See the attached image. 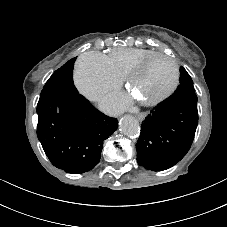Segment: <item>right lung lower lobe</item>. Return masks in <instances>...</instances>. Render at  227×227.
I'll return each mask as SVG.
<instances>
[{"label": "right lung lower lobe", "instance_id": "right-lung-lower-lobe-1", "mask_svg": "<svg viewBox=\"0 0 227 227\" xmlns=\"http://www.w3.org/2000/svg\"><path fill=\"white\" fill-rule=\"evenodd\" d=\"M37 136L51 163L67 173L88 172L100 161L103 141L118 126L79 93L45 94L37 105Z\"/></svg>", "mask_w": 227, "mask_h": 227}]
</instances>
